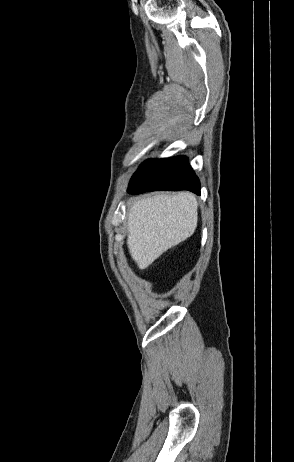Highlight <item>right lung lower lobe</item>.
Masks as SVG:
<instances>
[{
	"label": "right lung lower lobe",
	"mask_w": 294,
	"mask_h": 462,
	"mask_svg": "<svg viewBox=\"0 0 294 462\" xmlns=\"http://www.w3.org/2000/svg\"><path fill=\"white\" fill-rule=\"evenodd\" d=\"M189 190L200 195V182L183 156L146 160L133 175L129 193Z\"/></svg>",
	"instance_id": "98d812e1"
}]
</instances>
